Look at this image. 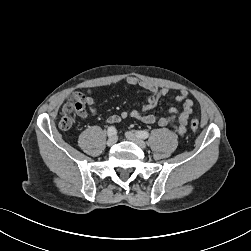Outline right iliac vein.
Returning a JSON list of instances; mask_svg holds the SVG:
<instances>
[{
	"mask_svg": "<svg viewBox=\"0 0 251 251\" xmlns=\"http://www.w3.org/2000/svg\"><path fill=\"white\" fill-rule=\"evenodd\" d=\"M116 142H117V137L116 136H111L107 141V145L108 146H113Z\"/></svg>",
	"mask_w": 251,
	"mask_h": 251,
	"instance_id": "right-iliac-vein-1",
	"label": "right iliac vein"
}]
</instances>
